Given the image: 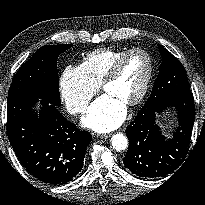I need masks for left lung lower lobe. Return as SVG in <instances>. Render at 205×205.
I'll return each instance as SVG.
<instances>
[{"mask_svg":"<svg viewBox=\"0 0 205 205\" xmlns=\"http://www.w3.org/2000/svg\"><path fill=\"white\" fill-rule=\"evenodd\" d=\"M174 107L179 127L167 140L155 123L156 114ZM195 119L194 98L191 91L170 94L155 106H143L125 130L129 147L123 159L133 174L142 178L162 177L173 172L188 151Z\"/></svg>","mask_w":205,"mask_h":205,"instance_id":"left-lung-lower-lobe-1","label":"left lung lower lobe"}]
</instances>
